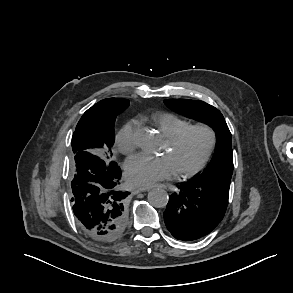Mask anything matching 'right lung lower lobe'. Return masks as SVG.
<instances>
[{
  "mask_svg": "<svg viewBox=\"0 0 293 293\" xmlns=\"http://www.w3.org/2000/svg\"><path fill=\"white\" fill-rule=\"evenodd\" d=\"M71 181L73 211L82 230L99 242H114L125 232L128 192L120 190V168L96 154H75Z\"/></svg>",
  "mask_w": 293,
  "mask_h": 293,
  "instance_id": "right-lung-lower-lobe-1",
  "label": "right lung lower lobe"
}]
</instances>
